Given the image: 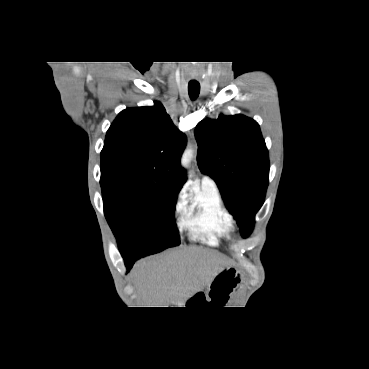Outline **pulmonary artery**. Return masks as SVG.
<instances>
[{
  "label": "pulmonary artery",
  "instance_id": "1",
  "mask_svg": "<svg viewBox=\"0 0 369 369\" xmlns=\"http://www.w3.org/2000/svg\"><path fill=\"white\" fill-rule=\"evenodd\" d=\"M202 184L216 188V184H215L214 180L211 177H209L208 175H204L202 177Z\"/></svg>",
  "mask_w": 369,
  "mask_h": 369
}]
</instances>
